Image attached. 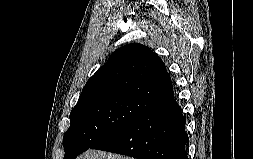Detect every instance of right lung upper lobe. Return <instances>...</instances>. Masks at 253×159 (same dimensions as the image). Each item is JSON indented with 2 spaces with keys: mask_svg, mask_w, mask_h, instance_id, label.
I'll return each instance as SVG.
<instances>
[{
  "mask_svg": "<svg viewBox=\"0 0 253 159\" xmlns=\"http://www.w3.org/2000/svg\"><path fill=\"white\" fill-rule=\"evenodd\" d=\"M111 95L139 97L156 105L174 96L164 63L140 43L113 52L85 84L79 100Z\"/></svg>",
  "mask_w": 253,
  "mask_h": 159,
  "instance_id": "obj_1",
  "label": "right lung upper lobe"
}]
</instances>
